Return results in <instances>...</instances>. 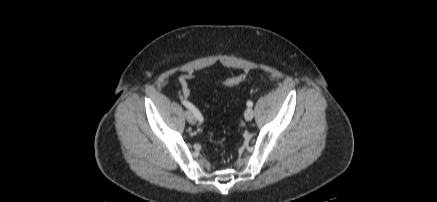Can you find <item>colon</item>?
I'll list each match as a JSON object with an SVG mask.
<instances>
[{"label": "colon", "mask_w": 437, "mask_h": 202, "mask_svg": "<svg viewBox=\"0 0 437 202\" xmlns=\"http://www.w3.org/2000/svg\"><path fill=\"white\" fill-rule=\"evenodd\" d=\"M245 78H246L245 73H240V74L234 75V76L228 78L227 80H225L224 86L227 88L234 87V86L240 84Z\"/></svg>", "instance_id": "colon-1"}]
</instances>
